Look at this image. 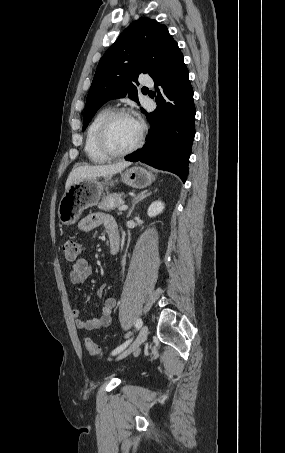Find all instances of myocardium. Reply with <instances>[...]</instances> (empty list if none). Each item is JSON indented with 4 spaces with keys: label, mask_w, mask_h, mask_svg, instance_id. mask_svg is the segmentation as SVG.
Here are the masks:
<instances>
[{
    "label": "myocardium",
    "mask_w": 285,
    "mask_h": 453,
    "mask_svg": "<svg viewBox=\"0 0 285 453\" xmlns=\"http://www.w3.org/2000/svg\"><path fill=\"white\" fill-rule=\"evenodd\" d=\"M122 116H127V117H131V118L135 119L140 125V133H139L137 141L131 147H129L125 150H122V151H117V150L113 149L110 145L109 131H110V128H111L113 122L117 118L122 117ZM145 133H146L145 124L142 121L138 120L133 115L132 112H130L127 109H117V110L111 111L105 117L103 122L101 123L99 130H98V134H97L98 147L101 150V152L109 158L123 157V156L133 153L134 151H136L137 149H139L142 146L144 138H145Z\"/></svg>",
    "instance_id": "f54148a6"
}]
</instances>
